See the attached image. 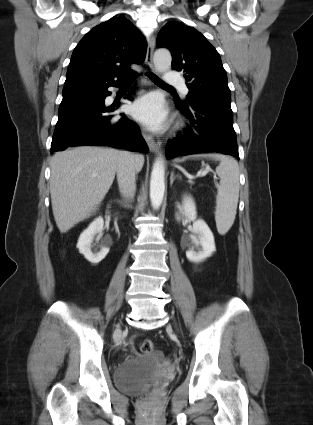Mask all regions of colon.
Returning <instances> with one entry per match:
<instances>
[{
    "label": "colon",
    "mask_w": 313,
    "mask_h": 425,
    "mask_svg": "<svg viewBox=\"0 0 313 425\" xmlns=\"http://www.w3.org/2000/svg\"><path fill=\"white\" fill-rule=\"evenodd\" d=\"M139 350L141 353H151L155 350V345L151 340L145 339L139 343Z\"/></svg>",
    "instance_id": "obj_1"
}]
</instances>
